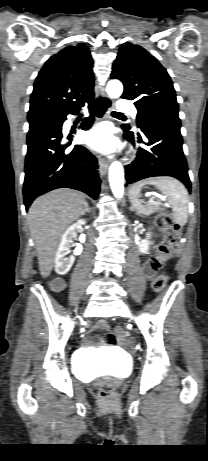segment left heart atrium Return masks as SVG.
Returning a JSON list of instances; mask_svg holds the SVG:
<instances>
[{"mask_svg": "<svg viewBox=\"0 0 208 461\" xmlns=\"http://www.w3.org/2000/svg\"><path fill=\"white\" fill-rule=\"evenodd\" d=\"M86 143L94 150L101 152L113 151L117 146V140L112 135L111 129L106 125H100L88 133Z\"/></svg>", "mask_w": 208, "mask_h": 461, "instance_id": "39dd6f15", "label": "left heart atrium"}]
</instances>
